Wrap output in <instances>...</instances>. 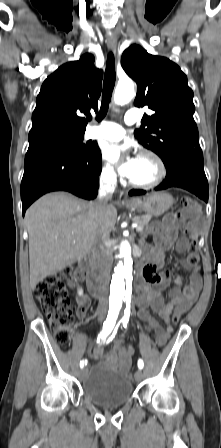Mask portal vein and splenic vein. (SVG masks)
<instances>
[{"mask_svg": "<svg viewBox=\"0 0 221 448\" xmlns=\"http://www.w3.org/2000/svg\"><path fill=\"white\" fill-rule=\"evenodd\" d=\"M134 227L136 228L137 231H142L143 230V227L138 225V224H135Z\"/></svg>", "mask_w": 221, "mask_h": 448, "instance_id": "18ae733b", "label": "portal vein and splenic vein"}]
</instances>
